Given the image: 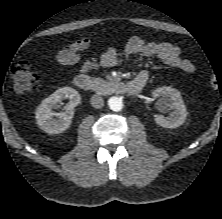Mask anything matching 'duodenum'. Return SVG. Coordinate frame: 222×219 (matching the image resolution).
I'll return each instance as SVG.
<instances>
[{
	"label": "duodenum",
	"instance_id": "410a0bca",
	"mask_svg": "<svg viewBox=\"0 0 222 219\" xmlns=\"http://www.w3.org/2000/svg\"><path fill=\"white\" fill-rule=\"evenodd\" d=\"M74 84L77 88L83 91L98 90L107 93H128L131 95L138 94L143 87V85L135 82L125 83L122 81H108L96 83L91 77L85 74L77 75L74 78Z\"/></svg>",
	"mask_w": 222,
	"mask_h": 219
}]
</instances>
